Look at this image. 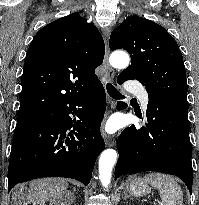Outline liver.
<instances>
[{
	"label": "liver",
	"mask_w": 199,
	"mask_h": 205,
	"mask_svg": "<svg viewBox=\"0 0 199 205\" xmlns=\"http://www.w3.org/2000/svg\"><path fill=\"white\" fill-rule=\"evenodd\" d=\"M68 183L64 179H39L30 183L27 194L22 193V186L14 196V201L18 199L19 204L27 200L32 205H45L50 201V205H70L74 196L67 190Z\"/></svg>",
	"instance_id": "liver-1"
}]
</instances>
